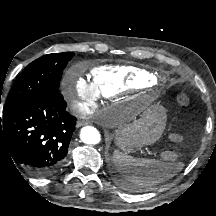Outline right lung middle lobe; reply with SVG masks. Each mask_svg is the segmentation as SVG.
Masks as SVG:
<instances>
[{
	"mask_svg": "<svg viewBox=\"0 0 216 216\" xmlns=\"http://www.w3.org/2000/svg\"><path fill=\"white\" fill-rule=\"evenodd\" d=\"M73 56L70 52L53 53L30 63L16 79L4 105L3 114L32 100L59 93L63 70Z\"/></svg>",
	"mask_w": 216,
	"mask_h": 216,
	"instance_id": "obj_1",
	"label": "right lung middle lobe"
}]
</instances>
